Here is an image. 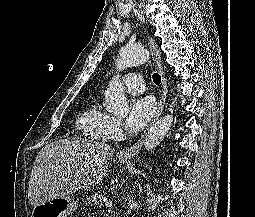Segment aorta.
I'll return each instance as SVG.
<instances>
[{
  "label": "aorta",
  "mask_w": 255,
  "mask_h": 217,
  "mask_svg": "<svg viewBox=\"0 0 255 217\" xmlns=\"http://www.w3.org/2000/svg\"><path fill=\"white\" fill-rule=\"evenodd\" d=\"M149 58V52L143 47L124 46L120 49L116 69L123 70L128 67L145 63ZM105 106L107 111L118 116H125L129 112L127 98L119 76L113 78L105 91ZM173 122V116L167 115L158 120L145 136L146 150H152L164 139Z\"/></svg>",
  "instance_id": "1"
}]
</instances>
